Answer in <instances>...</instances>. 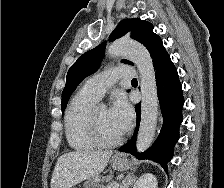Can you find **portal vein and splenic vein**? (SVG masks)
Listing matches in <instances>:
<instances>
[{"label": "portal vein and splenic vein", "mask_w": 224, "mask_h": 188, "mask_svg": "<svg viewBox=\"0 0 224 188\" xmlns=\"http://www.w3.org/2000/svg\"><path fill=\"white\" fill-rule=\"evenodd\" d=\"M119 184L118 183H114L113 185H108L107 187L105 186V188H118Z\"/></svg>", "instance_id": "1"}]
</instances>
